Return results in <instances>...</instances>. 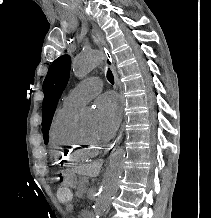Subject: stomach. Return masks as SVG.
Wrapping results in <instances>:
<instances>
[{"instance_id":"0dacf381","label":"stomach","mask_w":211,"mask_h":218,"mask_svg":"<svg viewBox=\"0 0 211 218\" xmlns=\"http://www.w3.org/2000/svg\"><path fill=\"white\" fill-rule=\"evenodd\" d=\"M64 184L72 188L77 187L79 185L77 175L74 173L64 175Z\"/></svg>"}]
</instances>
